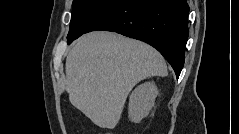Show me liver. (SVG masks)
<instances>
[{
    "instance_id": "obj_1",
    "label": "liver",
    "mask_w": 239,
    "mask_h": 134,
    "mask_svg": "<svg viewBox=\"0 0 239 134\" xmlns=\"http://www.w3.org/2000/svg\"><path fill=\"white\" fill-rule=\"evenodd\" d=\"M65 71L72 105L108 129L118 124L127 96L138 82L168 74L164 58L151 46L102 31L76 41Z\"/></svg>"
}]
</instances>
